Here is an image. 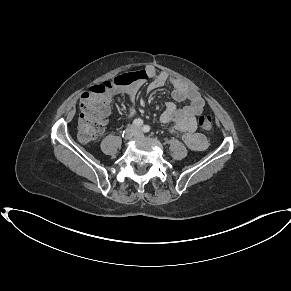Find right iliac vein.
I'll use <instances>...</instances> for the list:
<instances>
[{
	"mask_svg": "<svg viewBox=\"0 0 291 291\" xmlns=\"http://www.w3.org/2000/svg\"><path fill=\"white\" fill-rule=\"evenodd\" d=\"M137 133V130L134 126H130L126 129L125 133H124V139L128 140L131 139L133 136H135Z\"/></svg>",
	"mask_w": 291,
	"mask_h": 291,
	"instance_id": "obj_1",
	"label": "right iliac vein"
}]
</instances>
